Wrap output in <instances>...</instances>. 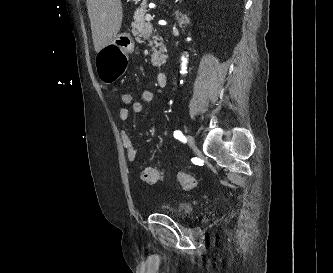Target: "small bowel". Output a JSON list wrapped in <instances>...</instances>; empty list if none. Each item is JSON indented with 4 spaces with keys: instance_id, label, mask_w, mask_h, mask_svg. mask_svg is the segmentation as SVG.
<instances>
[{
    "instance_id": "small-bowel-1",
    "label": "small bowel",
    "mask_w": 333,
    "mask_h": 273,
    "mask_svg": "<svg viewBox=\"0 0 333 273\" xmlns=\"http://www.w3.org/2000/svg\"><path fill=\"white\" fill-rule=\"evenodd\" d=\"M153 101V92L149 89H144L141 92V100L140 101H131V110L133 113L139 114L143 111L144 104L151 103ZM117 117L120 121H127L129 118V110L127 108H119L117 111ZM121 139L126 151L127 160L131 163L137 161L138 155L137 151L134 148L131 136L126 129H122L120 132Z\"/></svg>"
}]
</instances>
